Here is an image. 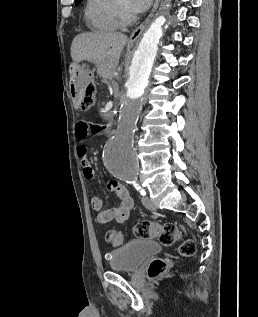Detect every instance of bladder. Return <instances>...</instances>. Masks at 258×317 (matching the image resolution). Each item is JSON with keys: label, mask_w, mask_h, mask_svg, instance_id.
Returning <instances> with one entry per match:
<instances>
[{"label": "bladder", "mask_w": 258, "mask_h": 317, "mask_svg": "<svg viewBox=\"0 0 258 317\" xmlns=\"http://www.w3.org/2000/svg\"><path fill=\"white\" fill-rule=\"evenodd\" d=\"M160 251L161 246L157 242L134 239L110 252L109 265L113 271H134Z\"/></svg>", "instance_id": "bladder-1"}]
</instances>
